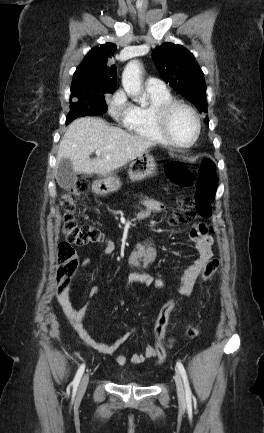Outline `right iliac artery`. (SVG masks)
I'll return each mask as SVG.
<instances>
[{
    "instance_id": "right-iliac-artery-1",
    "label": "right iliac artery",
    "mask_w": 264,
    "mask_h": 433,
    "mask_svg": "<svg viewBox=\"0 0 264 433\" xmlns=\"http://www.w3.org/2000/svg\"><path fill=\"white\" fill-rule=\"evenodd\" d=\"M84 370H85V365L82 364V365L79 367V369H78V371H77V373H76V375H75V378H74V380H73V382H72V384H73V395H75V393H76V391H77V388H78V385H79L80 379H81V377H82V375H83V373H84Z\"/></svg>"
}]
</instances>
